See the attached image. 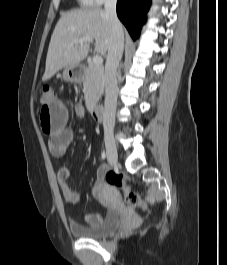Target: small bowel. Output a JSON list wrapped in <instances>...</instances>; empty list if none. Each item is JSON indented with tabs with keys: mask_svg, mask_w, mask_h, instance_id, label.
Listing matches in <instances>:
<instances>
[{
	"mask_svg": "<svg viewBox=\"0 0 227 265\" xmlns=\"http://www.w3.org/2000/svg\"><path fill=\"white\" fill-rule=\"evenodd\" d=\"M75 112L83 116L85 111L81 104L75 105ZM40 124L43 132L48 136V148L52 155L61 157L65 154L73 140V132L67 127L68 110L58 99L52 98L49 102H42V109L39 112ZM106 169L101 166L97 170L96 180L92 188V194L96 199L104 200V174ZM71 172L68 167L62 166L57 171V182L61 195L65 202L74 205L78 204L82 195L75 192L69 183ZM85 221L90 226L101 223L102 217L97 213H90L85 216Z\"/></svg>",
	"mask_w": 227,
	"mask_h": 265,
	"instance_id": "c3829d8e",
	"label": "small bowel"
}]
</instances>
